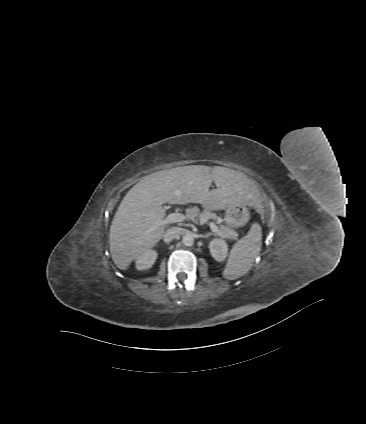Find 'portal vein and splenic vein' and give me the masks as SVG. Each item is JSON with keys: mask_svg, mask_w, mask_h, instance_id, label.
Instances as JSON below:
<instances>
[{"mask_svg": "<svg viewBox=\"0 0 366 424\" xmlns=\"http://www.w3.org/2000/svg\"><path fill=\"white\" fill-rule=\"evenodd\" d=\"M187 216L182 214V213H171L169 215H167V217L165 219H163L160 224H171V223H178V222H183L185 220H187ZM209 227L211 229L212 232L215 233H220L219 228L213 223L210 222Z\"/></svg>", "mask_w": 366, "mask_h": 424, "instance_id": "1", "label": "portal vein and splenic vein"}]
</instances>
